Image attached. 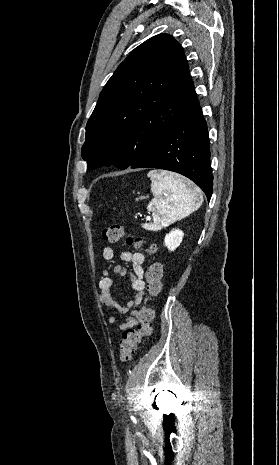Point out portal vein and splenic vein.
<instances>
[{"mask_svg":"<svg viewBox=\"0 0 279 465\" xmlns=\"http://www.w3.org/2000/svg\"><path fill=\"white\" fill-rule=\"evenodd\" d=\"M146 218H147V220H150V216H147Z\"/></svg>","mask_w":279,"mask_h":465,"instance_id":"1","label":"portal vein and splenic vein"}]
</instances>
